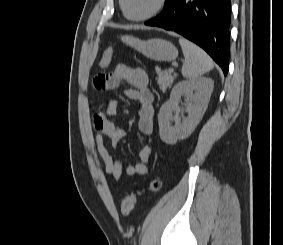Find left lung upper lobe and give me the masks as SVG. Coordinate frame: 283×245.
Masks as SVG:
<instances>
[{
  "mask_svg": "<svg viewBox=\"0 0 283 245\" xmlns=\"http://www.w3.org/2000/svg\"><path fill=\"white\" fill-rule=\"evenodd\" d=\"M173 0H166V3H165V5H164V9L172 2ZM163 9V10H164Z\"/></svg>",
  "mask_w": 283,
  "mask_h": 245,
  "instance_id": "1",
  "label": "left lung upper lobe"
}]
</instances>
